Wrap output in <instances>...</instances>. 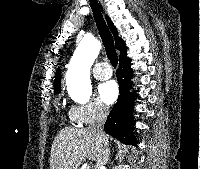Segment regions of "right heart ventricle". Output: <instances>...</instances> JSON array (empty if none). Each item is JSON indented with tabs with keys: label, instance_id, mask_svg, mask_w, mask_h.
I'll return each mask as SVG.
<instances>
[{
	"label": "right heart ventricle",
	"instance_id": "right-heart-ventricle-1",
	"mask_svg": "<svg viewBox=\"0 0 200 169\" xmlns=\"http://www.w3.org/2000/svg\"><path fill=\"white\" fill-rule=\"evenodd\" d=\"M70 119L72 120V122H74V120L71 118V116H70ZM75 123V122H74Z\"/></svg>",
	"mask_w": 200,
	"mask_h": 169
}]
</instances>
